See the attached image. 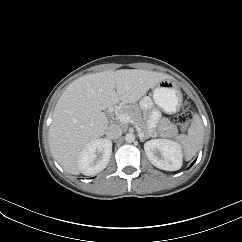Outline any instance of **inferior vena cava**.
Listing matches in <instances>:
<instances>
[{
  "label": "inferior vena cava",
  "mask_w": 242,
  "mask_h": 242,
  "mask_svg": "<svg viewBox=\"0 0 242 242\" xmlns=\"http://www.w3.org/2000/svg\"><path fill=\"white\" fill-rule=\"evenodd\" d=\"M122 128L117 124L109 125L106 129V136L108 139H118L122 135Z\"/></svg>",
  "instance_id": "1"
}]
</instances>
